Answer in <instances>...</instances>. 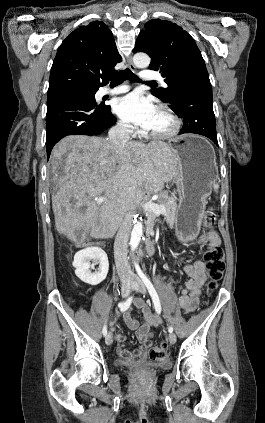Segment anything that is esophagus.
I'll list each match as a JSON object with an SVG mask.
<instances>
[{"label":"esophagus","mask_w":265,"mask_h":423,"mask_svg":"<svg viewBox=\"0 0 265 423\" xmlns=\"http://www.w3.org/2000/svg\"><path fill=\"white\" fill-rule=\"evenodd\" d=\"M127 63H128L129 68H130L132 71H136V67H135V65L133 64V62H132V58H131V57H128V59H127Z\"/></svg>","instance_id":"obj_1"}]
</instances>
